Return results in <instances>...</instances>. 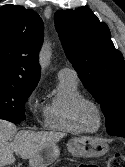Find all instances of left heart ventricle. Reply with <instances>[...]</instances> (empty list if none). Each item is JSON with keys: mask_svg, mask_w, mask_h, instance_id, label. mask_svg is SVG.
<instances>
[{"mask_svg": "<svg viewBox=\"0 0 125 167\" xmlns=\"http://www.w3.org/2000/svg\"><path fill=\"white\" fill-rule=\"evenodd\" d=\"M81 120L88 129H95L98 125V115L91 105H85L81 110Z\"/></svg>", "mask_w": 125, "mask_h": 167, "instance_id": "obj_1", "label": "left heart ventricle"}]
</instances>
